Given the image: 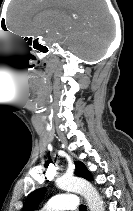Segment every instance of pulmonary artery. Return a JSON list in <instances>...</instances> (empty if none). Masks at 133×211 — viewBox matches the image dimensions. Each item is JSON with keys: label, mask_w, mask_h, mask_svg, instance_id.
Here are the masks:
<instances>
[{"label": "pulmonary artery", "mask_w": 133, "mask_h": 211, "mask_svg": "<svg viewBox=\"0 0 133 211\" xmlns=\"http://www.w3.org/2000/svg\"><path fill=\"white\" fill-rule=\"evenodd\" d=\"M78 207V197L75 194L61 193L53 196L41 211L75 210Z\"/></svg>", "instance_id": "e3ab8cb5"}]
</instances>
